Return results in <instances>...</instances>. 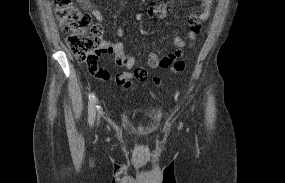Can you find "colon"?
<instances>
[{
  "label": "colon",
  "mask_w": 285,
  "mask_h": 183,
  "mask_svg": "<svg viewBox=\"0 0 285 183\" xmlns=\"http://www.w3.org/2000/svg\"><path fill=\"white\" fill-rule=\"evenodd\" d=\"M54 9L63 32L69 33L67 44L80 61H91L98 57L102 49V28L91 22L89 14L78 8L73 0H54ZM186 69L183 61L172 66L175 74H182ZM136 79L142 80L143 75L136 72ZM164 78L157 77L154 84L160 87Z\"/></svg>",
  "instance_id": "1"
}]
</instances>
